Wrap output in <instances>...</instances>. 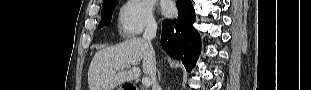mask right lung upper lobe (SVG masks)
<instances>
[{"mask_svg": "<svg viewBox=\"0 0 311 90\" xmlns=\"http://www.w3.org/2000/svg\"><path fill=\"white\" fill-rule=\"evenodd\" d=\"M109 1H111V0H104V1H103V4H105V3L109 2Z\"/></svg>", "mask_w": 311, "mask_h": 90, "instance_id": "1", "label": "right lung upper lobe"}]
</instances>
